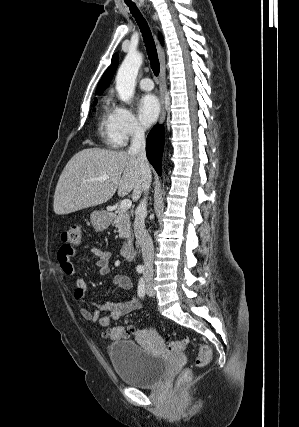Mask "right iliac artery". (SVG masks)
Wrapping results in <instances>:
<instances>
[{
	"label": "right iliac artery",
	"mask_w": 299,
	"mask_h": 427,
	"mask_svg": "<svg viewBox=\"0 0 299 427\" xmlns=\"http://www.w3.org/2000/svg\"><path fill=\"white\" fill-rule=\"evenodd\" d=\"M144 271V267H142V266H138L137 267V272L138 273H142Z\"/></svg>",
	"instance_id": "obj_1"
}]
</instances>
